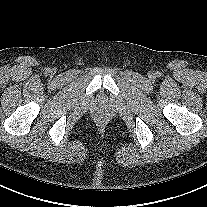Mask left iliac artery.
Segmentation results:
<instances>
[{
  "label": "left iliac artery",
  "mask_w": 207,
  "mask_h": 207,
  "mask_svg": "<svg viewBox=\"0 0 207 207\" xmlns=\"http://www.w3.org/2000/svg\"><path fill=\"white\" fill-rule=\"evenodd\" d=\"M157 76H158V77L161 76V73H160V72H157Z\"/></svg>",
  "instance_id": "obj_1"
}]
</instances>
